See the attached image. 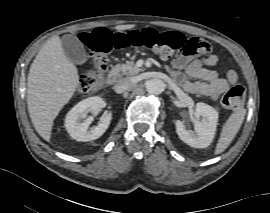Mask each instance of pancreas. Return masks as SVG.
Here are the masks:
<instances>
[{
    "label": "pancreas",
    "instance_id": "obj_1",
    "mask_svg": "<svg viewBox=\"0 0 270 213\" xmlns=\"http://www.w3.org/2000/svg\"><path fill=\"white\" fill-rule=\"evenodd\" d=\"M116 69L119 70L124 75H135L142 71L141 68L137 67L134 61H127L126 63L119 64L116 66Z\"/></svg>",
    "mask_w": 270,
    "mask_h": 213
}]
</instances>
